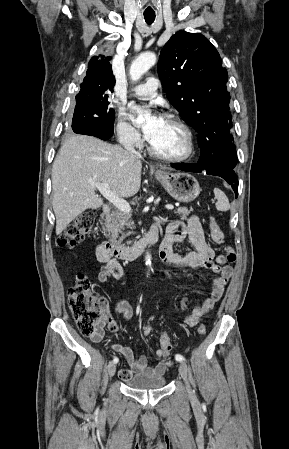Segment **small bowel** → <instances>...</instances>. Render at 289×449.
<instances>
[{
	"label": "small bowel",
	"mask_w": 289,
	"mask_h": 449,
	"mask_svg": "<svg viewBox=\"0 0 289 449\" xmlns=\"http://www.w3.org/2000/svg\"><path fill=\"white\" fill-rule=\"evenodd\" d=\"M186 235H188L195 250L186 255H181L174 250V244ZM96 257L102 264L97 275L99 283H106L111 277L122 282L126 281L124 270L119 262L103 250L100 245L96 249ZM160 258L164 263L173 267L187 269L206 268L218 274L213 280L209 297L200 306L194 308L184 320L187 327L196 326L200 318L211 311L222 297L225 286L233 274V268L225 264V258L223 256H216L214 249L205 241L201 224L196 216H191L186 224L174 222L167 227V235L160 248ZM184 308L185 301H182L181 309L183 310ZM102 309L103 314L99 331L95 336L91 337V340L95 343L101 341L104 335L105 325L111 332L119 333V326L113 319L111 309L105 300H103ZM113 311L121 314L127 321L133 315L132 307L125 299L115 302ZM111 348L119 352L129 365L128 369H122L120 371V377L124 381L132 378L136 373L162 375L169 365L167 360H161L155 366H149L145 355L135 358L132 349L125 345L115 343L111 345ZM155 354L158 358L165 357L159 348Z\"/></svg>",
	"instance_id": "c3829d8e"
}]
</instances>
